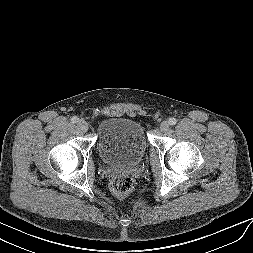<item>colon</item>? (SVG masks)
Returning <instances> with one entry per match:
<instances>
[{"mask_svg":"<svg viewBox=\"0 0 253 253\" xmlns=\"http://www.w3.org/2000/svg\"><path fill=\"white\" fill-rule=\"evenodd\" d=\"M134 188V180L129 175H119L112 181V191L117 196H125Z\"/></svg>","mask_w":253,"mask_h":253,"instance_id":"5ec220e1","label":"colon"}]
</instances>
